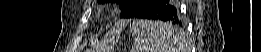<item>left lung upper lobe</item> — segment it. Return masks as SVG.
<instances>
[{"label":"left lung upper lobe","instance_id":"left-lung-upper-lobe-1","mask_svg":"<svg viewBox=\"0 0 261 52\" xmlns=\"http://www.w3.org/2000/svg\"><path fill=\"white\" fill-rule=\"evenodd\" d=\"M154 0H98L99 3L116 2L120 3L121 18L137 17L146 7H148Z\"/></svg>","mask_w":261,"mask_h":52}]
</instances>
